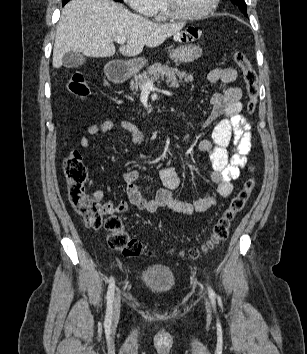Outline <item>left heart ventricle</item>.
<instances>
[{
    "instance_id": "obj_1",
    "label": "left heart ventricle",
    "mask_w": 307,
    "mask_h": 354,
    "mask_svg": "<svg viewBox=\"0 0 307 354\" xmlns=\"http://www.w3.org/2000/svg\"><path fill=\"white\" fill-rule=\"evenodd\" d=\"M176 7L186 14H197L210 5L212 0H173Z\"/></svg>"
}]
</instances>
